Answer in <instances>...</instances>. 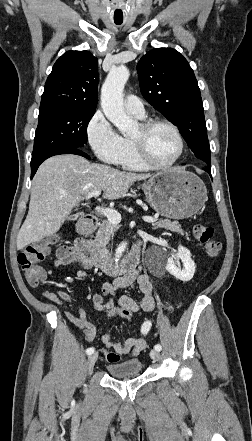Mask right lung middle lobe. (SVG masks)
<instances>
[{
    "label": "right lung middle lobe",
    "mask_w": 252,
    "mask_h": 441,
    "mask_svg": "<svg viewBox=\"0 0 252 441\" xmlns=\"http://www.w3.org/2000/svg\"><path fill=\"white\" fill-rule=\"evenodd\" d=\"M95 110L49 107L39 110L32 160L63 148H81L87 143V126Z\"/></svg>",
    "instance_id": "dd1d6c3e"
}]
</instances>
